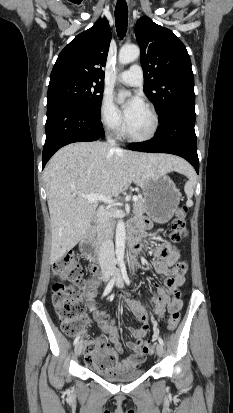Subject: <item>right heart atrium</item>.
<instances>
[{"label":"right heart atrium","instance_id":"1","mask_svg":"<svg viewBox=\"0 0 233 413\" xmlns=\"http://www.w3.org/2000/svg\"><path fill=\"white\" fill-rule=\"evenodd\" d=\"M99 118L106 130L113 134H119L124 124L122 116L109 95H104L100 107Z\"/></svg>","mask_w":233,"mask_h":413}]
</instances>
